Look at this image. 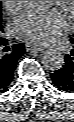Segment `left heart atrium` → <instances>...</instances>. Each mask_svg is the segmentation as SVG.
<instances>
[{
	"mask_svg": "<svg viewBox=\"0 0 74 122\" xmlns=\"http://www.w3.org/2000/svg\"><path fill=\"white\" fill-rule=\"evenodd\" d=\"M70 20L60 9L29 10L12 24L17 37L34 44H48L65 32Z\"/></svg>",
	"mask_w": 74,
	"mask_h": 122,
	"instance_id": "1",
	"label": "left heart atrium"
}]
</instances>
